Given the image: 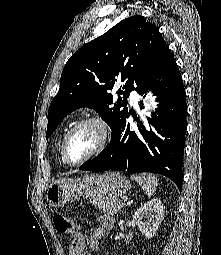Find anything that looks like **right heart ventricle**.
Here are the masks:
<instances>
[{"label":"right heart ventricle","mask_w":221,"mask_h":255,"mask_svg":"<svg viewBox=\"0 0 221 255\" xmlns=\"http://www.w3.org/2000/svg\"><path fill=\"white\" fill-rule=\"evenodd\" d=\"M65 135H66V132H65V133L63 134V136H62L61 145H62V142H63V139H64Z\"/></svg>","instance_id":"right-heart-ventricle-1"}]
</instances>
